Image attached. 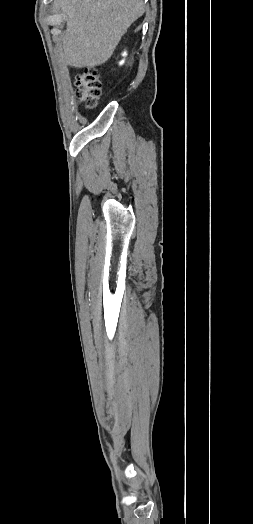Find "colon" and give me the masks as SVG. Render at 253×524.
I'll return each instance as SVG.
<instances>
[{
    "mask_svg": "<svg viewBox=\"0 0 253 524\" xmlns=\"http://www.w3.org/2000/svg\"><path fill=\"white\" fill-rule=\"evenodd\" d=\"M75 86L78 100L88 108L96 107L102 90L97 69L93 67L83 69L76 76Z\"/></svg>",
    "mask_w": 253,
    "mask_h": 524,
    "instance_id": "1",
    "label": "colon"
}]
</instances>
